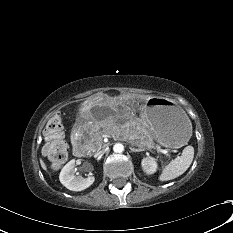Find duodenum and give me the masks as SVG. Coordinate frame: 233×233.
I'll return each instance as SVG.
<instances>
[{
    "mask_svg": "<svg viewBox=\"0 0 233 233\" xmlns=\"http://www.w3.org/2000/svg\"><path fill=\"white\" fill-rule=\"evenodd\" d=\"M72 146H73V152L77 155V156H82L84 153V147L83 144L81 143V141L78 138V131L76 130L73 134L72 137Z\"/></svg>",
    "mask_w": 233,
    "mask_h": 233,
    "instance_id": "410a0bca",
    "label": "duodenum"
}]
</instances>
